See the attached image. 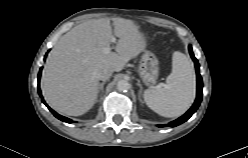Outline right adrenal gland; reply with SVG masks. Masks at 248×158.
<instances>
[{
	"instance_id": "obj_1",
	"label": "right adrenal gland",
	"mask_w": 248,
	"mask_h": 158,
	"mask_svg": "<svg viewBox=\"0 0 248 158\" xmlns=\"http://www.w3.org/2000/svg\"><path fill=\"white\" fill-rule=\"evenodd\" d=\"M105 83H106V81H103L102 83L99 84L98 93L103 92V88H104Z\"/></svg>"
}]
</instances>
